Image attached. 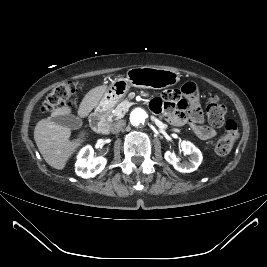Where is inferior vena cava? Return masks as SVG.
<instances>
[{
  "label": "inferior vena cava",
  "instance_id": "inferior-vena-cava-1",
  "mask_svg": "<svg viewBox=\"0 0 267 267\" xmlns=\"http://www.w3.org/2000/svg\"><path fill=\"white\" fill-rule=\"evenodd\" d=\"M122 127H123V121L122 120H118L116 122H114L112 125H111V132L112 133H119L121 130H122Z\"/></svg>",
  "mask_w": 267,
  "mask_h": 267
}]
</instances>
